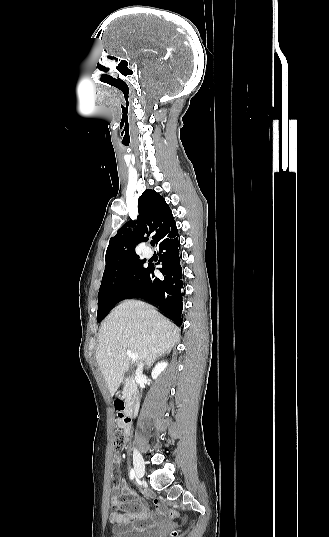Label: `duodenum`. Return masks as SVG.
I'll return each instance as SVG.
<instances>
[{
	"label": "duodenum",
	"instance_id": "410a0bca",
	"mask_svg": "<svg viewBox=\"0 0 329 537\" xmlns=\"http://www.w3.org/2000/svg\"><path fill=\"white\" fill-rule=\"evenodd\" d=\"M116 410L123 413L125 416L131 418L134 415L135 410V400L133 399H116L115 401Z\"/></svg>",
	"mask_w": 329,
	"mask_h": 537
}]
</instances>
